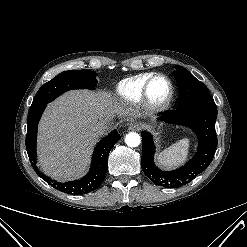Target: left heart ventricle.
I'll list each match as a JSON object with an SVG mask.
<instances>
[{
	"mask_svg": "<svg viewBox=\"0 0 247 247\" xmlns=\"http://www.w3.org/2000/svg\"><path fill=\"white\" fill-rule=\"evenodd\" d=\"M169 92V86L164 79H157L153 82L151 86V96L155 100H162L164 99Z\"/></svg>",
	"mask_w": 247,
	"mask_h": 247,
	"instance_id": "left-heart-ventricle-1",
	"label": "left heart ventricle"
}]
</instances>
